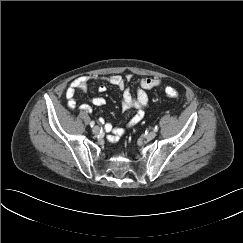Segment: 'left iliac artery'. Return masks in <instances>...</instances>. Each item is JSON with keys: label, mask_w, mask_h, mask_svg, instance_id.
Segmentation results:
<instances>
[{"label": "left iliac artery", "mask_w": 243, "mask_h": 243, "mask_svg": "<svg viewBox=\"0 0 243 243\" xmlns=\"http://www.w3.org/2000/svg\"><path fill=\"white\" fill-rule=\"evenodd\" d=\"M154 131H155V132L158 131V126H157V125L154 127Z\"/></svg>", "instance_id": "left-iliac-artery-1"}]
</instances>
